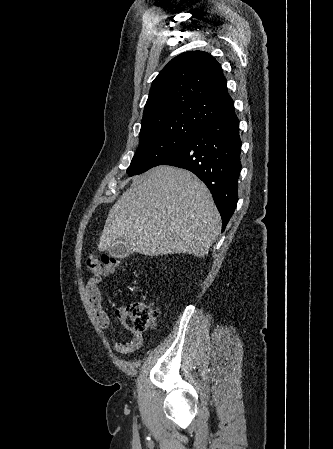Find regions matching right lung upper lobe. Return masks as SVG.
Wrapping results in <instances>:
<instances>
[{
  "label": "right lung upper lobe",
  "instance_id": "1",
  "mask_svg": "<svg viewBox=\"0 0 333 449\" xmlns=\"http://www.w3.org/2000/svg\"><path fill=\"white\" fill-rule=\"evenodd\" d=\"M232 111L220 64L206 52L189 51L173 58L152 82L140 133L171 123L204 127Z\"/></svg>",
  "mask_w": 333,
  "mask_h": 449
}]
</instances>
